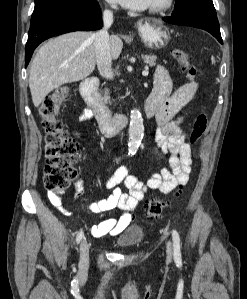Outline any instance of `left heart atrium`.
<instances>
[{"mask_svg": "<svg viewBox=\"0 0 247 299\" xmlns=\"http://www.w3.org/2000/svg\"><path fill=\"white\" fill-rule=\"evenodd\" d=\"M114 3H118L126 8L130 9H144L151 5L153 0H109Z\"/></svg>", "mask_w": 247, "mask_h": 299, "instance_id": "1", "label": "left heart atrium"}]
</instances>
